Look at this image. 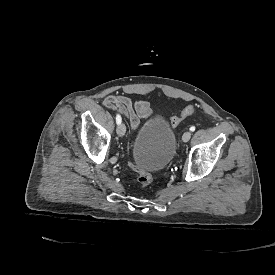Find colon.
<instances>
[{
	"label": "colon",
	"mask_w": 275,
	"mask_h": 275,
	"mask_svg": "<svg viewBox=\"0 0 275 275\" xmlns=\"http://www.w3.org/2000/svg\"><path fill=\"white\" fill-rule=\"evenodd\" d=\"M194 113V108L189 107L182 112L179 116H173L166 119V122L169 126H176L178 125L185 117L189 116L190 114ZM137 170V182L141 187H147L152 182V174L146 168L142 166H136Z\"/></svg>",
	"instance_id": "obj_1"
}]
</instances>
